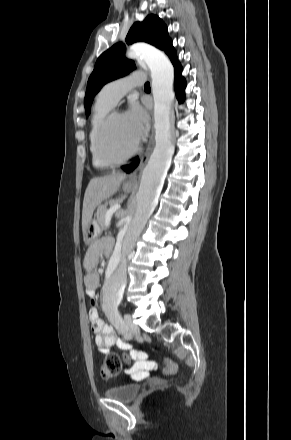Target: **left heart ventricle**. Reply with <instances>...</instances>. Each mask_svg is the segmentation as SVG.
Returning <instances> with one entry per match:
<instances>
[{
	"label": "left heart ventricle",
	"instance_id": "left-heart-ventricle-1",
	"mask_svg": "<svg viewBox=\"0 0 291 440\" xmlns=\"http://www.w3.org/2000/svg\"><path fill=\"white\" fill-rule=\"evenodd\" d=\"M137 140L124 115L113 119L106 135L107 148L112 154L125 155L133 148Z\"/></svg>",
	"mask_w": 291,
	"mask_h": 440
}]
</instances>
